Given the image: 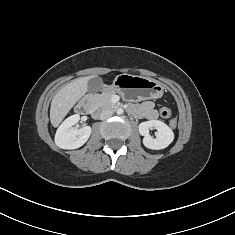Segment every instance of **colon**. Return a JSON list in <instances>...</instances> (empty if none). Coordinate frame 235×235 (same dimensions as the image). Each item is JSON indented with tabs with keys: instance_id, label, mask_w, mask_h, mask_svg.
<instances>
[{
	"instance_id": "colon-1",
	"label": "colon",
	"mask_w": 235,
	"mask_h": 235,
	"mask_svg": "<svg viewBox=\"0 0 235 235\" xmlns=\"http://www.w3.org/2000/svg\"><path fill=\"white\" fill-rule=\"evenodd\" d=\"M160 115L161 117L163 118H170L171 115H172V109L168 106H163L161 109H160ZM170 126L172 128H175L176 127V121L172 120L170 122Z\"/></svg>"
}]
</instances>
